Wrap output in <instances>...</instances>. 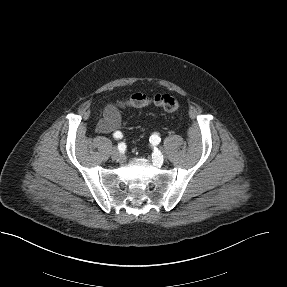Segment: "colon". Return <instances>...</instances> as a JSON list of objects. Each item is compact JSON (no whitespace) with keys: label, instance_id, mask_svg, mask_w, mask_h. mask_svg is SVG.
<instances>
[{"label":"colon","instance_id":"5ec220e1","mask_svg":"<svg viewBox=\"0 0 287 287\" xmlns=\"http://www.w3.org/2000/svg\"><path fill=\"white\" fill-rule=\"evenodd\" d=\"M118 106L120 108L155 106L167 112H176L179 109L180 104L177 98L170 94L162 93L149 96L144 93H134L128 98L119 101Z\"/></svg>","mask_w":287,"mask_h":287}]
</instances>
